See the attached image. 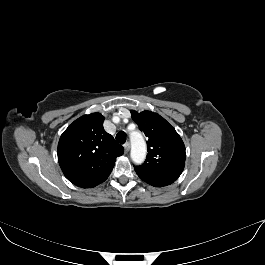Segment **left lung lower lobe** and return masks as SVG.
<instances>
[{"mask_svg":"<svg viewBox=\"0 0 265 265\" xmlns=\"http://www.w3.org/2000/svg\"><path fill=\"white\" fill-rule=\"evenodd\" d=\"M141 180L147 182L148 184L155 186V187H163L166 185H170L171 183H173L174 181H169V180H162V179H153V178H148L145 176H141L139 174H137Z\"/></svg>","mask_w":265,"mask_h":265,"instance_id":"obj_1","label":"left lung lower lobe"}]
</instances>
